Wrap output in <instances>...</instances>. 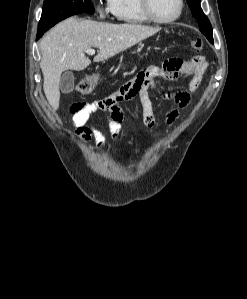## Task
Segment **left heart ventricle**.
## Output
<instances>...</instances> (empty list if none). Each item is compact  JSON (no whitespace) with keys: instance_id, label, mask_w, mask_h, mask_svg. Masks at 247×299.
<instances>
[{"instance_id":"obj_1","label":"left heart ventricle","mask_w":247,"mask_h":299,"mask_svg":"<svg viewBox=\"0 0 247 299\" xmlns=\"http://www.w3.org/2000/svg\"><path fill=\"white\" fill-rule=\"evenodd\" d=\"M151 8L156 17L169 19L178 11V0H151Z\"/></svg>"}]
</instances>
